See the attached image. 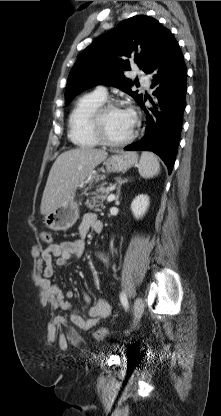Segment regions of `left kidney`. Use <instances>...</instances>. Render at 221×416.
Segmentation results:
<instances>
[{
	"label": "left kidney",
	"instance_id": "5707ae66",
	"mask_svg": "<svg viewBox=\"0 0 221 416\" xmlns=\"http://www.w3.org/2000/svg\"><path fill=\"white\" fill-rule=\"evenodd\" d=\"M149 197L147 195H138L131 203V211L136 219H140L146 213L149 207Z\"/></svg>",
	"mask_w": 221,
	"mask_h": 416
}]
</instances>
